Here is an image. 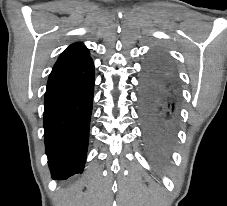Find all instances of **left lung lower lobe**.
<instances>
[{
    "label": "left lung lower lobe",
    "instance_id": "left-lung-lower-lobe-1",
    "mask_svg": "<svg viewBox=\"0 0 227 206\" xmlns=\"http://www.w3.org/2000/svg\"><path fill=\"white\" fill-rule=\"evenodd\" d=\"M174 75L162 57H154L142 70L139 116L146 144L165 149L173 140L177 113Z\"/></svg>",
    "mask_w": 227,
    "mask_h": 206
}]
</instances>
